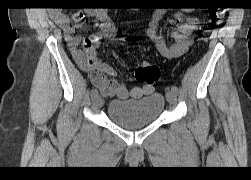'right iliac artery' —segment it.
Segmentation results:
<instances>
[{
  "mask_svg": "<svg viewBox=\"0 0 251 180\" xmlns=\"http://www.w3.org/2000/svg\"><path fill=\"white\" fill-rule=\"evenodd\" d=\"M97 95H98L97 89H92V90H91V97L93 98V97H95V96H97Z\"/></svg>",
  "mask_w": 251,
  "mask_h": 180,
  "instance_id": "obj_1",
  "label": "right iliac artery"
}]
</instances>
